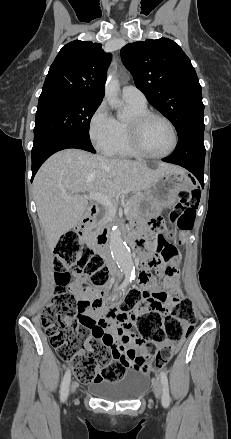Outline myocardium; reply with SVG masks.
Returning <instances> with one entry per match:
<instances>
[{"mask_svg":"<svg viewBox=\"0 0 231 439\" xmlns=\"http://www.w3.org/2000/svg\"><path fill=\"white\" fill-rule=\"evenodd\" d=\"M151 118H159L165 121L168 126L171 129L172 136H173V144L172 147L163 154H152L148 152L145 147L142 144L141 141V132L144 124ZM129 142L134 150V152L142 157L149 158V159H163L168 156H170L174 151L176 150L179 142L178 132L177 129L172 122V120L167 117L166 115L156 112V111H145L140 114H135L131 117L129 121Z\"/></svg>","mask_w":231,"mask_h":439,"instance_id":"obj_1","label":"myocardium"}]
</instances>
